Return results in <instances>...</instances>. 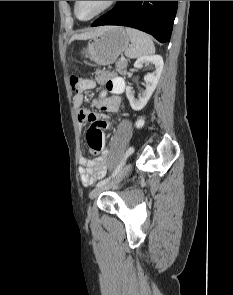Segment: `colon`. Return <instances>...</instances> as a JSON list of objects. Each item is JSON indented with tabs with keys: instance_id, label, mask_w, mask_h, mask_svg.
I'll use <instances>...</instances> for the list:
<instances>
[{
	"instance_id": "obj_1",
	"label": "colon",
	"mask_w": 233,
	"mask_h": 295,
	"mask_svg": "<svg viewBox=\"0 0 233 295\" xmlns=\"http://www.w3.org/2000/svg\"><path fill=\"white\" fill-rule=\"evenodd\" d=\"M71 86L76 94H81L93 88V82L87 79H82L77 76L71 77ZM87 143L90 152L97 155L103 148L104 136L102 129L96 126H91L87 131Z\"/></svg>"
}]
</instances>
